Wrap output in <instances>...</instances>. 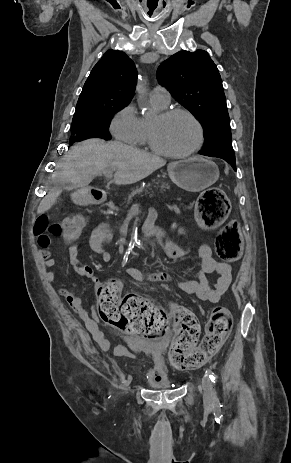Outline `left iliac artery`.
Wrapping results in <instances>:
<instances>
[{
  "mask_svg": "<svg viewBox=\"0 0 291 463\" xmlns=\"http://www.w3.org/2000/svg\"><path fill=\"white\" fill-rule=\"evenodd\" d=\"M205 373L209 377L211 382L215 385V383L217 381V377H216L215 373L211 369H207ZM214 400H215L216 404H219V399H218V397L216 395V392L214 394Z\"/></svg>",
  "mask_w": 291,
  "mask_h": 463,
  "instance_id": "obj_1",
  "label": "left iliac artery"
}]
</instances>
